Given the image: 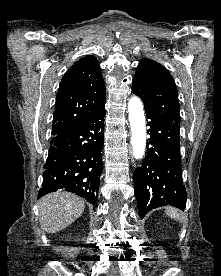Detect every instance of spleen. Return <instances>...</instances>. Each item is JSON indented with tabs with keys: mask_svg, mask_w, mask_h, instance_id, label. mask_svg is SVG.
Masks as SVG:
<instances>
[{
	"mask_svg": "<svg viewBox=\"0 0 221 276\" xmlns=\"http://www.w3.org/2000/svg\"><path fill=\"white\" fill-rule=\"evenodd\" d=\"M166 213H167V215L170 216L172 219L181 220L180 214H179V212H178L177 209H174V208H167V209H166Z\"/></svg>",
	"mask_w": 221,
	"mask_h": 276,
	"instance_id": "spleen-1",
	"label": "spleen"
}]
</instances>
